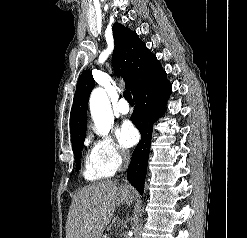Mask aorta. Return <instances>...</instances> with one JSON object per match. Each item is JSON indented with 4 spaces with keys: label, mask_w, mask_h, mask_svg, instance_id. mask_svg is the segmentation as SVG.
I'll list each match as a JSON object with an SVG mask.
<instances>
[{
    "label": "aorta",
    "mask_w": 247,
    "mask_h": 238,
    "mask_svg": "<svg viewBox=\"0 0 247 238\" xmlns=\"http://www.w3.org/2000/svg\"><path fill=\"white\" fill-rule=\"evenodd\" d=\"M89 105L97 134L108 135L114 123V117L108 96L103 88H96L92 91Z\"/></svg>",
    "instance_id": "1"
}]
</instances>
